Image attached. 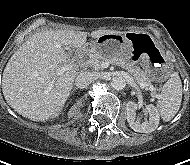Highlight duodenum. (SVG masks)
Segmentation results:
<instances>
[{"mask_svg":"<svg viewBox=\"0 0 190 165\" xmlns=\"http://www.w3.org/2000/svg\"><path fill=\"white\" fill-rule=\"evenodd\" d=\"M91 47H92L91 44H86V45H84L83 47H81V48L78 50V54H79L80 56H82V55L85 54Z\"/></svg>","mask_w":190,"mask_h":165,"instance_id":"410a0bca","label":"duodenum"}]
</instances>
